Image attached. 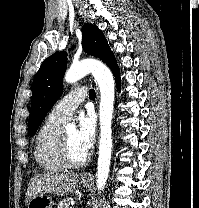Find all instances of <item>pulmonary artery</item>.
<instances>
[{
	"instance_id": "e3ab8cb5",
	"label": "pulmonary artery",
	"mask_w": 199,
	"mask_h": 208,
	"mask_svg": "<svg viewBox=\"0 0 199 208\" xmlns=\"http://www.w3.org/2000/svg\"><path fill=\"white\" fill-rule=\"evenodd\" d=\"M86 97L87 90L85 88L73 89L52 108L49 117L62 122L68 121Z\"/></svg>"
}]
</instances>
